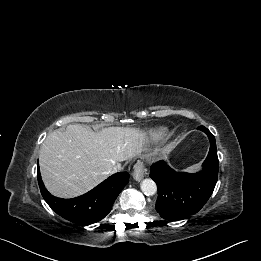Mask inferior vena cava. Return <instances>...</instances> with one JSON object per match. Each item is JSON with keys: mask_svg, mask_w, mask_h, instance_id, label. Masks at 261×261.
Returning <instances> with one entry per match:
<instances>
[{"mask_svg": "<svg viewBox=\"0 0 261 261\" xmlns=\"http://www.w3.org/2000/svg\"><path fill=\"white\" fill-rule=\"evenodd\" d=\"M121 170V167L119 166H114L110 171L109 174H114L116 172H119Z\"/></svg>", "mask_w": 261, "mask_h": 261, "instance_id": "1", "label": "inferior vena cava"}]
</instances>
